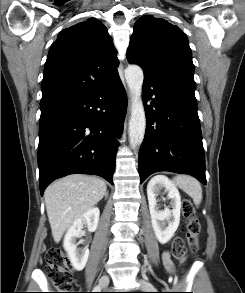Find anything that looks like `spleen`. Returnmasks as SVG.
I'll return each mask as SVG.
<instances>
[{
	"label": "spleen",
	"instance_id": "1",
	"mask_svg": "<svg viewBox=\"0 0 245 293\" xmlns=\"http://www.w3.org/2000/svg\"><path fill=\"white\" fill-rule=\"evenodd\" d=\"M173 183L186 192L196 205L202 200V187L198 180L192 176L178 175L173 179Z\"/></svg>",
	"mask_w": 245,
	"mask_h": 293
}]
</instances>
